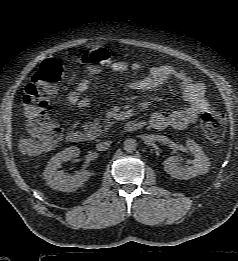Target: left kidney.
Segmentation results:
<instances>
[{
    "label": "left kidney",
    "mask_w": 238,
    "mask_h": 261,
    "mask_svg": "<svg viewBox=\"0 0 238 261\" xmlns=\"http://www.w3.org/2000/svg\"><path fill=\"white\" fill-rule=\"evenodd\" d=\"M186 146L194 155L193 165L183 167L178 163L176 156L167 158L163 165L164 171L176 179L188 180L198 175L205 174L210 168V162L201 147L193 140H188Z\"/></svg>",
    "instance_id": "obj_1"
}]
</instances>
